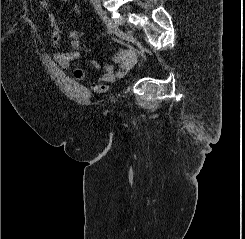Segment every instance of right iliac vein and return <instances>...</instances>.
Here are the masks:
<instances>
[{"label":"right iliac vein","instance_id":"obj_1","mask_svg":"<svg viewBox=\"0 0 245 239\" xmlns=\"http://www.w3.org/2000/svg\"><path fill=\"white\" fill-rule=\"evenodd\" d=\"M95 9L105 25L107 26L108 29L112 31L118 38L124 40L126 38V34L119 29V27L114 24L111 19L108 17L107 13L100 7V6H95Z\"/></svg>","mask_w":245,"mask_h":239}]
</instances>
